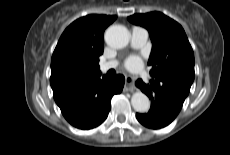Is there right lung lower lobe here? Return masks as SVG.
Returning a JSON list of instances; mask_svg holds the SVG:
<instances>
[{
	"mask_svg": "<svg viewBox=\"0 0 230 155\" xmlns=\"http://www.w3.org/2000/svg\"><path fill=\"white\" fill-rule=\"evenodd\" d=\"M92 77L58 85L53 89L54 100L66 120L79 129L99 126L108 116L111 98L121 93L125 78L116 75L109 78Z\"/></svg>",
	"mask_w": 230,
	"mask_h": 155,
	"instance_id": "right-lung-lower-lobe-1",
	"label": "right lung lower lobe"
}]
</instances>
